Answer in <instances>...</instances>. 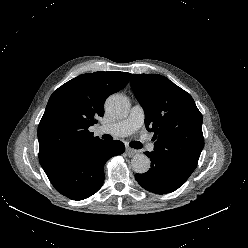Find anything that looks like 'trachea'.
Wrapping results in <instances>:
<instances>
[{
	"label": "trachea",
	"mask_w": 248,
	"mask_h": 248,
	"mask_svg": "<svg viewBox=\"0 0 248 248\" xmlns=\"http://www.w3.org/2000/svg\"><path fill=\"white\" fill-rule=\"evenodd\" d=\"M103 139L105 140H112V136L105 134L102 136ZM130 146L135 149H141L142 148V143L138 141H132L130 142Z\"/></svg>",
	"instance_id": "trachea-1"
}]
</instances>
